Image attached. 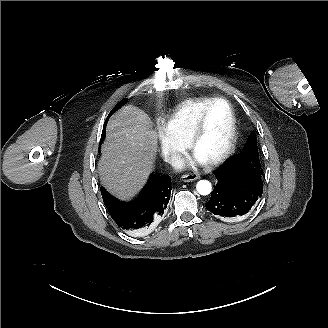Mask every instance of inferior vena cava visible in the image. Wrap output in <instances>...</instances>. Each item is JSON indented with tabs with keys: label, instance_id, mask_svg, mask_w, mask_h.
<instances>
[{
	"label": "inferior vena cava",
	"instance_id": "inferior-vena-cava-1",
	"mask_svg": "<svg viewBox=\"0 0 328 328\" xmlns=\"http://www.w3.org/2000/svg\"><path fill=\"white\" fill-rule=\"evenodd\" d=\"M179 155L180 154H179L178 151L170 150L165 154V161L166 162H172V161L178 159L180 157Z\"/></svg>",
	"mask_w": 328,
	"mask_h": 328
}]
</instances>
